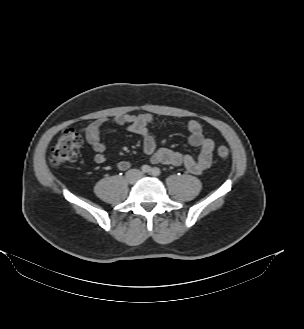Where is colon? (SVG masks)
<instances>
[{
  "instance_id": "colon-1",
  "label": "colon",
  "mask_w": 304,
  "mask_h": 329,
  "mask_svg": "<svg viewBox=\"0 0 304 329\" xmlns=\"http://www.w3.org/2000/svg\"><path fill=\"white\" fill-rule=\"evenodd\" d=\"M82 143V135L79 131L69 128L59 137L52 149L49 162L53 167H60L76 160ZM230 151L222 145L217 148V155L221 159H227Z\"/></svg>"
}]
</instances>
